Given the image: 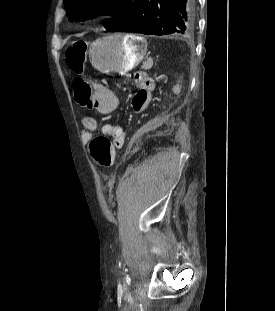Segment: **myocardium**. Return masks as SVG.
Masks as SVG:
<instances>
[{"mask_svg":"<svg viewBox=\"0 0 275 311\" xmlns=\"http://www.w3.org/2000/svg\"><path fill=\"white\" fill-rule=\"evenodd\" d=\"M101 14L100 13H95L94 16L95 17H99Z\"/></svg>","mask_w":275,"mask_h":311,"instance_id":"1","label":"myocardium"}]
</instances>
